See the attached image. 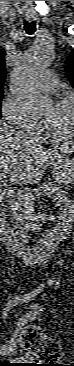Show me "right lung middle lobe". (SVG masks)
Wrapping results in <instances>:
<instances>
[{
	"mask_svg": "<svg viewBox=\"0 0 74 366\" xmlns=\"http://www.w3.org/2000/svg\"><path fill=\"white\" fill-rule=\"evenodd\" d=\"M3 98V92L0 93V102L2 101Z\"/></svg>",
	"mask_w": 74,
	"mask_h": 366,
	"instance_id": "obj_1",
	"label": "right lung middle lobe"
}]
</instances>
